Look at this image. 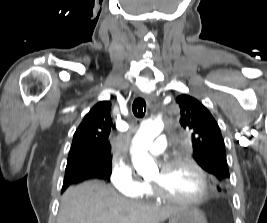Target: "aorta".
Here are the masks:
<instances>
[{"instance_id":"762f6f07","label":"aorta","mask_w":267,"mask_h":223,"mask_svg":"<svg viewBox=\"0 0 267 223\" xmlns=\"http://www.w3.org/2000/svg\"><path fill=\"white\" fill-rule=\"evenodd\" d=\"M162 129L163 123L161 121H147L141 125L133 139L132 163L138 174L142 176L152 175L158 170L157 165L148 154V149Z\"/></svg>"}]
</instances>
